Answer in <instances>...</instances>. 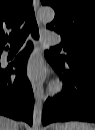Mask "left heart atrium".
Returning a JSON list of instances; mask_svg holds the SVG:
<instances>
[{
	"instance_id": "1",
	"label": "left heart atrium",
	"mask_w": 95,
	"mask_h": 130,
	"mask_svg": "<svg viewBox=\"0 0 95 130\" xmlns=\"http://www.w3.org/2000/svg\"><path fill=\"white\" fill-rule=\"evenodd\" d=\"M26 74L33 80L41 78L44 74V67L38 55L31 56L25 66Z\"/></svg>"
}]
</instances>
